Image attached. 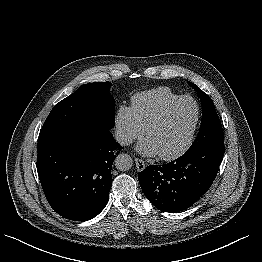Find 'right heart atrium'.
<instances>
[{"label":"right heart atrium","instance_id":"right-heart-atrium-1","mask_svg":"<svg viewBox=\"0 0 262 262\" xmlns=\"http://www.w3.org/2000/svg\"><path fill=\"white\" fill-rule=\"evenodd\" d=\"M145 129L137 121L131 107L120 105L114 117V134L122 145H130L143 136Z\"/></svg>","mask_w":262,"mask_h":262}]
</instances>
